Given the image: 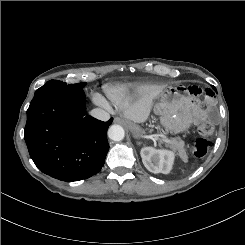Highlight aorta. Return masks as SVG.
<instances>
[{"label":"aorta","mask_w":245,"mask_h":245,"mask_svg":"<svg viewBox=\"0 0 245 245\" xmlns=\"http://www.w3.org/2000/svg\"><path fill=\"white\" fill-rule=\"evenodd\" d=\"M125 136L122 126L114 124L108 130V137L113 141H121Z\"/></svg>","instance_id":"obj_1"}]
</instances>
